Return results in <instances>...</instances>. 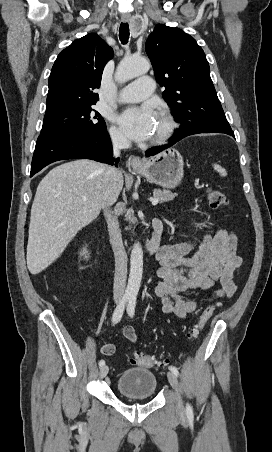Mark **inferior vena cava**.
<instances>
[{"label": "inferior vena cava", "instance_id": "inferior-vena-cava-1", "mask_svg": "<svg viewBox=\"0 0 272 452\" xmlns=\"http://www.w3.org/2000/svg\"><path fill=\"white\" fill-rule=\"evenodd\" d=\"M114 157L120 156L121 149L131 146V142L121 133L114 132L111 134ZM119 176V170L114 166L107 167L105 171L104 199L103 207L104 216L107 221L110 244L112 246L115 257V275L113 285V296L115 300H120L125 292L127 279V254L122 241L121 230L118 220L111 214L109 207L116 201L117 193L114 189L115 182Z\"/></svg>", "mask_w": 272, "mask_h": 452}]
</instances>
